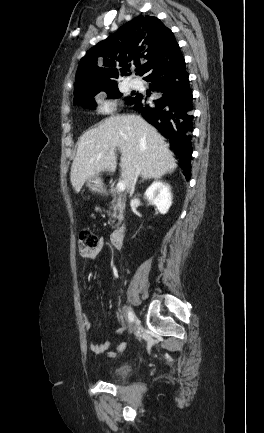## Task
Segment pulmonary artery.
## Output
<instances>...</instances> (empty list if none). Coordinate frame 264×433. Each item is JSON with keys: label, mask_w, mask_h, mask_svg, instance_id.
Returning <instances> with one entry per match:
<instances>
[{"label": "pulmonary artery", "mask_w": 264, "mask_h": 433, "mask_svg": "<svg viewBox=\"0 0 264 433\" xmlns=\"http://www.w3.org/2000/svg\"><path fill=\"white\" fill-rule=\"evenodd\" d=\"M130 86L134 89H141L143 87L142 82L139 80H131Z\"/></svg>", "instance_id": "e3ab8cb5"}]
</instances>
